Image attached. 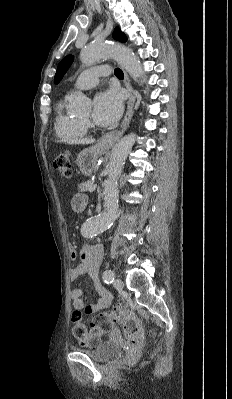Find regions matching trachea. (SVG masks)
Returning a JSON list of instances; mask_svg holds the SVG:
<instances>
[{
	"label": "trachea",
	"instance_id": "obj_1",
	"mask_svg": "<svg viewBox=\"0 0 232 399\" xmlns=\"http://www.w3.org/2000/svg\"><path fill=\"white\" fill-rule=\"evenodd\" d=\"M114 74L116 75L117 78L119 79H123L124 78V73L122 72V70H120V68H116L114 70Z\"/></svg>",
	"mask_w": 232,
	"mask_h": 399
}]
</instances>
